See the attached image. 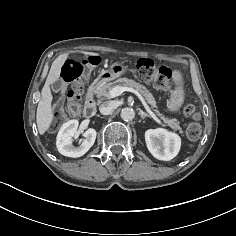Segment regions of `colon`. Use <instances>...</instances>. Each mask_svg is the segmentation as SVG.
Returning <instances> with one entry per match:
<instances>
[{"instance_id": "1", "label": "colon", "mask_w": 236, "mask_h": 236, "mask_svg": "<svg viewBox=\"0 0 236 236\" xmlns=\"http://www.w3.org/2000/svg\"><path fill=\"white\" fill-rule=\"evenodd\" d=\"M99 63L96 57L85 59H67L61 67V76L69 84L65 107L55 112L51 129L55 130L68 116L79 115L82 111L81 93L84 87L83 76ZM138 76L145 82L151 83L155 88L170 91V70L164 65H157L153 60L143 58L136 65ZM186 118L192 120L187 126L186 134L190 140L200 137L201 126L198 123L199 114L193 105H186L183 109Z\"/></svg>"}]
</instances>
